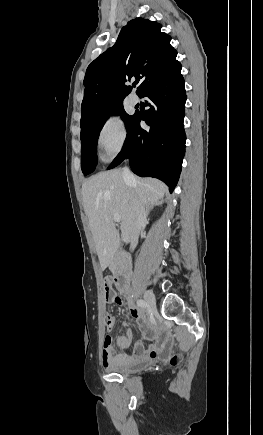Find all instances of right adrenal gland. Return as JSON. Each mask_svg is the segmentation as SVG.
<instances>
[{
	"label": "right adrenal gland",
	"mask_w": 263,
	"mask_h": 435,
	"mask_svg": "<svg viewBox=\"0 0 263 435\" xmlns=\"http://www.w3.org/2000/svg\"><path fill=\"white\" fill-rule=\"evenodd\" d=\"M150 209H151V208H148V209H147V214H149V212H150Z\"/></svg>",
	"instance_id": "right-adrenal-gland-1"
}]
</instances>
